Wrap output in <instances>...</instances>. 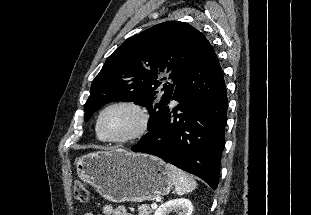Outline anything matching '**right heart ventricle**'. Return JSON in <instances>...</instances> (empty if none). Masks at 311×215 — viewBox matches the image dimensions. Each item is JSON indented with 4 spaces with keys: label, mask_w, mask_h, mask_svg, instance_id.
I'll use <instances>...</instances> for the list:
<instances>
[{
    "label": "right heart ventricle",
    "mask_w": 311,
    "mask_h": 215,
    "mask_svg": "<svg viewBox=\"0 0 311 215\" xmlns=\"http://www.w3.org/2000/svg\"><path fill=\"white\" fill-rule=\"evenodd\" d=\"M96 133H97L98 139L103 141V139L100 137L99 133L97 132V129H96Z\"/></svg>",
    "instance_id": "obj_1"
}]
</instances>
